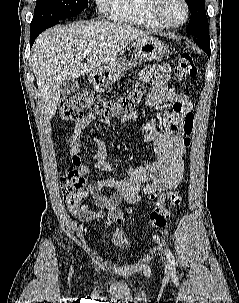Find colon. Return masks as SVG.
Listing matches in <instances>:
<instances>
[{
    "label": "colon",
    "mask_w": 239,
    "mask_h": 303,
    "mask_svg": "<svg viewBox=\"0 0 239 303\" xmlns=\"http://www.w3.org/2000/svg\"><path fill=\"white\" fill-rule=\"evenodd\" d=\"M197 75V67L193 58L189 54H182L175 66L174 78L176 80H185ZM144 88L141 85H135L126 95L117 100H109L100 95L89 92H79L62 98L59 105V119L63 122H74L78 120L84 110H89L100 117L110 119L132 112L139 103ZM185 138L183 144L185 147L191 145V134L194 130V118L192 114H187L182 127ZM60 186L63 200L68 205L77 202L80 192L85 186L84 177L73 168H67L60 177ZM167 200L173 207H179L182 204L183 193L175 188L167 194ZM170 218V211L162 198L155 202V207L149 214V223L153 227H164Z\"/></svg>",
    "instance_id": "5ec220e1"
}]
</instances>
